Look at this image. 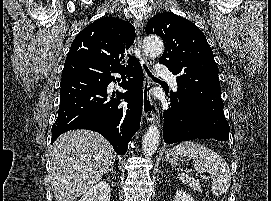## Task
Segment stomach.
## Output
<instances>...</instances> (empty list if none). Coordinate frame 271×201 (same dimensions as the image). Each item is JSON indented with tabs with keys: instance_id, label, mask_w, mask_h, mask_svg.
Listing matches in <instances>:
<instances>
[{
	"instance_id": "0dacf381",
	"label": "stomach",
	"mask_w": 271,
	"mask_h": 201,
	"mask_svg": "<svg viewBox=\"0 0 271 201\" xmlns=\"http://www.w3.org/2000/svg\"><path fill=\"white\" fill-rule=\"evenodd\" d=\"M166 158L169 159V160H171V159H176V158H178V156H176V155L173 153V150L171 149V150H168V151L166 152Z\"/></svg>"
}]
</instances>
